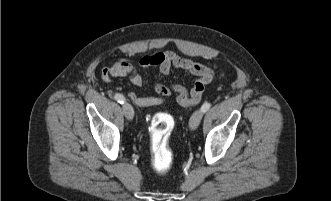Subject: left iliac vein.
<instances>
[{
    "mask_svg": "<svg viewBox=\"0 0 331 201\" xmlns=\"http://www.w3.org/2000/svg\"><path fill=\"white\" fill-rule=\"evenodd\" d=\"M202 117H203L202 110L201 109L200 110H196L192 114V116H191V118L189 120V128L191 130H195L198 127V125L200 124V121H201Z\"/></svg>",
    "mask_w": 331,
    "mask_h": 201,
    "instance_id": "4c4485c4",
    "label": "left iliac vein"
}]
</instances>
